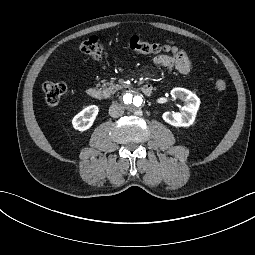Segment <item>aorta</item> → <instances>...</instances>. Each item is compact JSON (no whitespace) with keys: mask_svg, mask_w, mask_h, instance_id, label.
<instances>
[{"mask_svg":"<svg viewBox=\"0 0 255 255\" xmlns=\"http://www.w3.org/2000/svg\"><path fill=\"white\" fill-rule=\"evenodd\" d=\"M125 105L131 109H139L144 105V98L137 91H129L123 96Z\"/></svg>","mask_w":255,"mask_h":255,"instance_id":"aorta-1","label":"aorta"}]
</instances>
